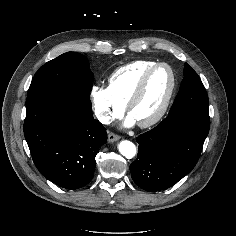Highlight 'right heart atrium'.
Masks as SVG:
<instances>
[{
    "label": "right heart atrium",
    "instance_id": "right-heart-atrium-1",
    "mask_svg": "<svg viewBox=\"0 0 236 236\" xmlns=\"http://www.w3.org/2000/svg\"><path fill=\"white\" fill-rule=\"evenodd\" d=\"M94 113L102 124H109L124 111L122 105L111 93L109 88L95 85L91 89Z\"/></svg>",
    "mask_w": 236,
    "mask_h": 236
}]
</instances>
